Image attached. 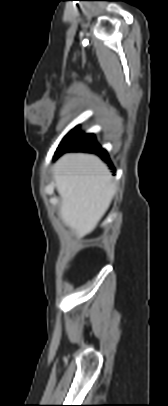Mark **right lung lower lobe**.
<instances>
[{
	"mask_svg": "<svg viewBox=\"0 0 168 406\" xmlns=\"http://www.w3.org/2000/svg\"><path fill=\"white\" fill-rule=\"evenodd\" d=\"M68 151L99 154L100 157L107 160L111 164L108 153L104 149H102L101 146L96 142L94 135L68 146L56 156H59Z\"/></svg>",
	"mask_w": 168,
	"mask_h": 406,
	"instance_id": "obj_1",
	"label": "right lung lower lobe"
}]
</instances>
